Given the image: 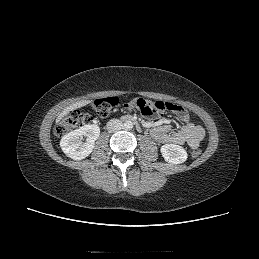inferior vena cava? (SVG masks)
I'll return each mask as SVG.
<instances>
[{
  "instance_id": "obj_1",
  "label": "inferior vena cava",
  "mask_w": 259,
  "mask_h": 259,
  "mask_svg": "<svg viewBox=\"0 0 259 259\" xmlns=\"http://www.w3.org/2000/svg\"><path fill=\"white\" fill-rule=\"evenodd\" d=\"M106 127L109 132L113 133V132L120 130L123 127V124L119 119H111L107 123Z\"/></svg>"
}]
</instances>
